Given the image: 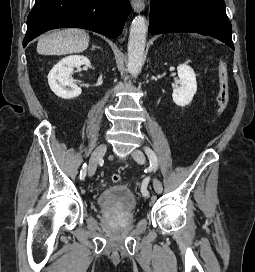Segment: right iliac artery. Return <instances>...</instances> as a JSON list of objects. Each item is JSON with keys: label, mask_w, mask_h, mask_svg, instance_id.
Wrapping results in <instances>:
<instances>
[{"label": "right iliac artery", "mask_w": 255, "mask_h": 272, "mask_svg": "<svg viewBox=\"0 0 255 272\" xmlns=\"http://www.w3.org/2000/svg\"><path fill=\"white\" fill-rule=\"evenodd\" d=\"M86 171H87V164L84 163L82 166V169L80 171V179L84 180L85 176H86Z\"/></svg>", "instance_id": "1"}]
</instances>
